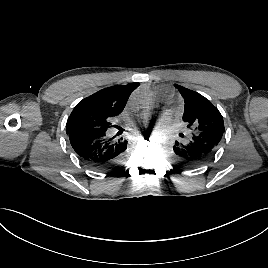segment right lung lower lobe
I'll return each instance as SVG.
<instances>
[{"label":"right lung lower lobe","instance_id":"1","mask_svg":"<svg viewBox=\"0 0 268 268\" xmlns=\"http://www.w3.org/2000/svg\"><path fill=\"white\" fill-rule=\"evenodd\" d=\"M72 148L79 159L97 171H112L124 159L127 141L123 138H109L103 133H69Z\"/></svg>","mask_w":268,"mask_h":268}]
</instances>
